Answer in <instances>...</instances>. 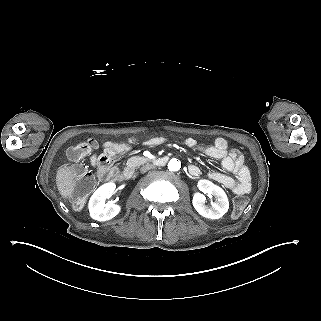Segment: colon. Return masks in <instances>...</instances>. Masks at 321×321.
Masks as SVG:
<instances>
[{
	"mask_svg": "<svg viewBox=\"0 0 321 321\" xmlns=\"http://www.w3.org/2000/svg\"><path fill=\"white\" fill-rule=\"evenodd\" d=\"M97 148V141L95 139H90L87 142H83L71 147L68 150V157L74 163L81 162L85 157L90 155ZM78 172V183L73 190V196L75 197V203L80 207L84 199L91 193L95 186V181L93 176L77 168ZM247 204V199L244 196H236L233 200V210L232 215L238 217L243 212Z\"/></svg>",
	"mask_w": 321,
	"mask_h": 321,
	"instance_id": "colon-1",
	"label": "colon"
}]
</instances>
